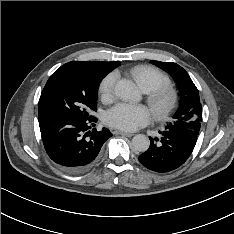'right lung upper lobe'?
Listing matches in <instances>:
<instances>
[{
    "mask_svg": "<svg viewBox=\"0 0 234 234\" xmlns=\"http://www.w3.org/2000/svg\"><path fill=\"white\" fill-rule=\"evenodd\" d=\"M66 64L77 66L88 71L102 74L104 76H106L110 71H112L114 68L119 66V62H104V61H88V62L71 61Z\"/></svg>",
    "mask_w": 234,
    "mask_h": 234,
    "instance_id": "obj_1",
    "label": "right lung upper lobe"
}]
</instances>
